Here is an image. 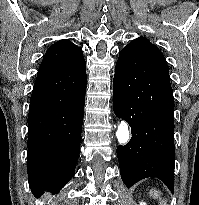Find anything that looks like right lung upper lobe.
Listing matches in <instances>:
<instances>
[{"mask_svg": "<svg viewBox=\"0 0 199 205\" xmlns=\"http://www.w3.org/2000/svg\"><path fill=\"white\" fill-rule=\"evenodd\" d=\"M86 71L82 50L69 40H60L49 47L39 67L36 80L47 82L58 90L63 82Z\"/></svg>", "mask_w": 199, "mask_h": 205, "instance_id": "1", "label": "right lung upper lobe"}]
</instances>
